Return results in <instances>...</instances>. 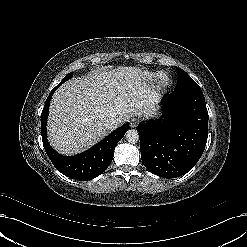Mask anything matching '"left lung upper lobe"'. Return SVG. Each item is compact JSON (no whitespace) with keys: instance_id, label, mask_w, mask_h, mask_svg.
<instances>
[{"instance_id":"5c2ea615","label":"left lung upper lobe","mask_w":247,"mask_h":247,"mask_svg":"<svg viewBox=\"0 0 247 247\" xmlns=\"http://www.w3.org/2000/svg\"><path fill=\"white\" fill-rule=\"evenodd\" d=\"M178 83L175 92L186 91L192 88L199 87L197 83L181 68H177Z\"/></svg>"}]
</instances>
